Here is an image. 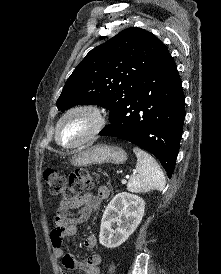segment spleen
I'll list each match as a JSON object with an SVG mask.
<instances>
[{
  "label": "spleen",
  "instance_id": "spleen-1",
  "mask_svg": "<svg viewBox=\"0 0 221 274\" xmlns=\"http://www.w3.org/2000/svg\"><path fill=\"white\" fill-rule=\"evenodd\" d=\"M133 152L137 156V164L127 184L128 191L133 193H146L154 189L162 191L166 181L156 160L140 148H133Z\"/></svg>",
  "mask_w": 221,
  "mask_h": 274
}]
</instances>
